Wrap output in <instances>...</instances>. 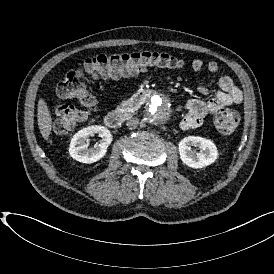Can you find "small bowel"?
<instances>
[{
  "label": "small bowel",
  "instance_id": "1",
  "mask_svg": "<svg viewBox=\"0 0 274 274\" xmlns=\"http://www.w3.org/2000/svg\"><path fill=\"white\" fill-rule=\"evenodd\" d=\"M211 72L217 73L220 69L216 61H210L206 65L201 59H194L191 62V69L194 72H201L204 68ZM117 79V76H113ZM220 89L216 92L215 96L207 101L199 99H191L185 105V115L181 122L183 130H190L200 127L205 119L219 111L220 109L239 104L243 100L242 91L235 85L232 78L229 76H221L219 79ZM198 92L207 95L209 89L205 86H198Z\"/></svg>",
  "mask_w": 274,
  "mask_h": 274
}]
</instances>
